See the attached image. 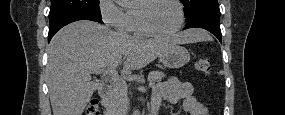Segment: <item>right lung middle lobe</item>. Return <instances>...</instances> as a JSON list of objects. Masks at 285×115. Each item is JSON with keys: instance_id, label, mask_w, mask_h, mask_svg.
I'll return each mask as SVG.
<instances>
[{"instance_id": "right-lung-middle-lobe-1", "label": "right lung middle lobe", "mask_w": 285, "mask_h": 115, "mask_svg": "<svg viewBox=\"0 0 285 115\" xmlns=\"http://www.w3.org/2000/svg\"><path fill=\"white\" fill-rule=\"evenodd\" d=\"M68 14H87L101 18L99 0H51L49 21Z\"/></svg>"}]
</instances>
